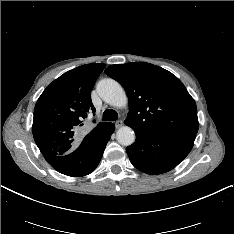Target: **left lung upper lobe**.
<instances>
[{
	"instance_id": "left-lung-upper-lobe-1",
	"label": "left lung upper lobe",
	"mask_w": 234,
	"mask_h": 234,
	"mask_svg": "<svg viewBox=\"0 0 234 234\" xmlns=\"http://www.w3.org/2000/svg\"><path fill=\"white\" fill-rule=\"evenodd\" d=\"M106 74L126 90V125L151 132H198L195 101L169 71L145 62L111 65Z\"/></svg>"
}]
</instances>
